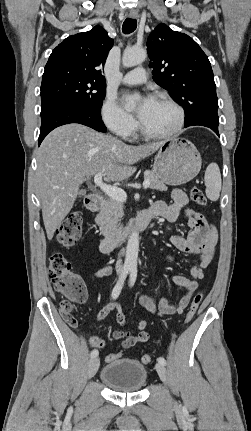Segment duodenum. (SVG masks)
I'll use <instances>...</instances> for the list:
<instances>
[{
  "label": "duodenum",
  "instance_id": "obj_1",
  "mask_svg": "<svg viewBox=\"0 0 251 431\" xmlns=\"http://www.w3.org/2000/svg\"><path fill=\"white\" fill-rule=\"evenodd\" d=\"M104 204V200L99 195H90L86 199V206L91 211L100 209ZM153 218V214L145 210L125 231H111L107 233L100 241L99 250L102 253H109L119 247L126 235L144 230Z\"/></svg>",
  "mask_w": 251,
  "mask_h": 431
}]
</instances>
